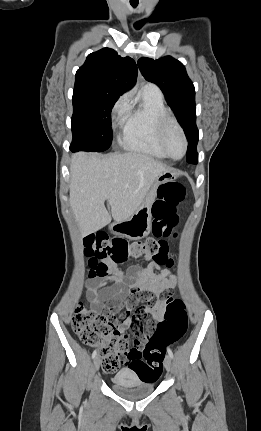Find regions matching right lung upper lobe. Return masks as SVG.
Masks as SVG:
<instances>
[{"instance_id": "1", "label": "right lung upper lobe", "mask_w": 261, "mask_h": 431, "mask_svg": "<svg viewBox=\"0 0 261 431\" xmlns=\"http://www.w3.org/2000/svg\"><path fill=\"white\" fill-rule=\"evenodd\" d=\"M137 66L111 48L91 53L75 77V85H87L122 95L136 82Z\"/></svg>"}]
</instances>
